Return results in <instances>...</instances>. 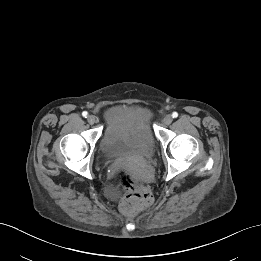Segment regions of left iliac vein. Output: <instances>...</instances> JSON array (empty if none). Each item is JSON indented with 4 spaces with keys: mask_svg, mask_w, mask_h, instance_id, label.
Segmentation results:
<instances>
[{
    "mask_svg": "<svg viewBox=\"0 0 261 261\" xmlns=\"http://www.w3.org/2000/svg\"><path fill=\"white\" fill-rule=\"evenodd\" d=\"M172 120H173V118H172L171 115H166V116L163 118V122H164V124H166V125H170V124L172 123Z\"/></svg>",
    "mask_w": 261,
    "mask_h": 261,
    "instance_id": "1",
    "label": "left iliac vein"
}]
</instances>
